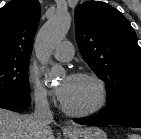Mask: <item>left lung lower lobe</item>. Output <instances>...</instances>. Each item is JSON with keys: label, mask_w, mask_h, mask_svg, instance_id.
<instances>
[{"label": "left lung lower lobe", "mask_w": 141, "mask_h": 139, "mask_svg": "<svg viewBox=\"0 0 141 139\" xmlns=\"http://www.w3.org/2000/svg\"><path fill=\"white\" fill-rule=\"evenodd\" d=\"M83 125L115 124L141 128V94L128 95L90 117L74 119Z\"/></svg>", "instance_id": "1"}]
</instances>
